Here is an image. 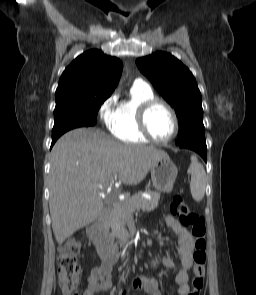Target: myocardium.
I'll list each match as a JSON object with an SVG mask.
<instances>
[{
    "instance_id": "obj_1",
    "label": "myocardium",
    "mask_w": 256,
    "mask_h": 295,
    "mask_svg": "<svg viewBox=\"0 0 256 295\" xmlns=\"http://www.w3.org/2000/svg\"><path fill=\"white\" fill-rule=\"evenodd\" d=\"M156 106H163L165 107L169 113L171 114L172 118H173V122H174V129L172 134L166 138V139H158L156 138L152 132L150 131L149 125H148V115L150 113V111L156 107ZM137 120H138V126L140 131L142 132V134L150 141L157 143V144H167L170 141H172L178 131H179V120H178V116L174 110V108L168 104L167 102L158 99V98H154L148 101H145L144 103H142L138 109V113H137Z\"/></svg>"
}]
</instances>
